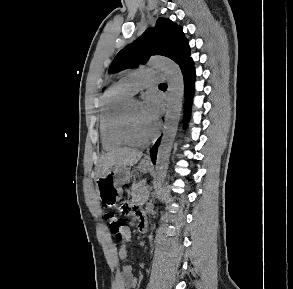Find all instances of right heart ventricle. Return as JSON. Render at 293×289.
Returning a JSON list of instances; mask_svg holds the SVG:
<instances>
[{
	"mask_svg": "<svg viewBox=\"0 0 293 289\" xmlns=\"http://www.w3.org/2000/svg\"><path fill=\"white\" fill-rule=\"evenodd\" d=\"M131 96L120 83L113 85L103 95L99 122L101 143L105 150H115L127 144L121 134V121L124 107Z\"/></svg>",
	"mask_w": 293,
	"mask_h": 289,
	"instance_id": "1",
	"label": "right heart ventricle"
}]
</instances>
